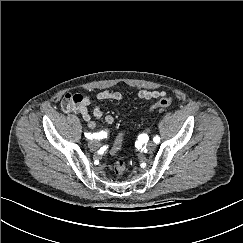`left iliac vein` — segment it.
<instances>
[{"instance_id": "1", "label": "left iliac vein", "mask_w": 243, "mask_h": 243, "mask_svg": "<svg viewBox=\"0 0 243 243\" xmlns=\"http://www.w3.org/2000/svg\"><path fill=\"white\" fill-rule=\"evenodd\" d=\"M155 147H156V144L154 142H152V141L147 144V149L148 150H154Z\"/></svg>"}]
</instances>
